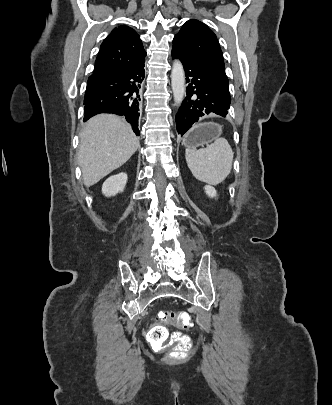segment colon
<instances>
[{"mask_svg": "<svg viewBox=\"0 0 332 405\" xmlns=\"http://www.w3.org/2000/svg\"><path fill=\"white\" fill-rule=\"evenodd\" d=\"M173 320L182 328H190L192 325V316L184 311H162L160 316L155 317L156 323H161L163 319ZM148 339L155 347L163 346L167 341L169 343L176 344L175 355L177 357H183L187 351L191 348L192 342L189 336L180 332H174L169 335L166 328L162 326H154L148 332Z\"/></svg>", "mask_w": 332, "mask_h": 405, "instance_id": "1", "label": "colon"}]
</instances>
